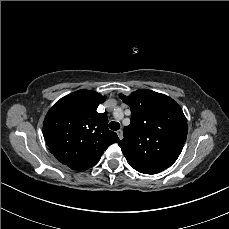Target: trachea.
<instances>
[{
	"label": "trachea",
	"mask_w": 229,
	"mask_h": 229,
	"mask_svg": "<svg viewBox=\"0 0 229 229\" xmlns=\"http://www.w3.org/2000/svg\"><path fill=\"white\" fill-rule=\"evenodd\" d=\"M109 128L113 131H117L120 128V124L118 122H110L109 123Z\"/></svg>",
	"instance_id": "obj_1"
}]
</instances>
